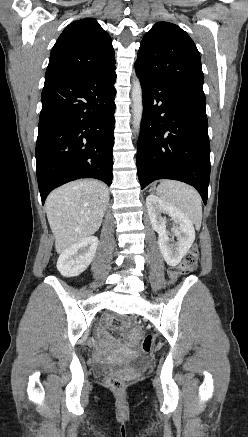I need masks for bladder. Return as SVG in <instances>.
Instances as JSON below:
<instances>
[{"instance_id":"obj_1","label":"bladder","mask_w":248,"mask_h":437,"mask_svg":"<svg viewBox=\"0 0 248 437\" xmlns=\"http://www.w3.org/2000/svg\"><path fill=\"white\" fill-rule=\"evenodd\" d=\"M147 364V360L143 358H137L134 359L128 363H122V364H108L103 366L101 369L106 372H110L113 374H124L128 372H135L143 367H145Z\"/></svg>"}]
</instances>
